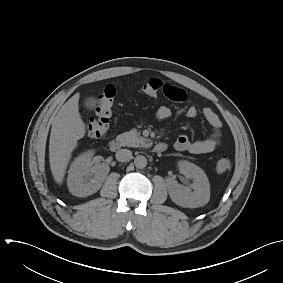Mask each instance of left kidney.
Wrapping results in <instances>:
<instances>
[{
  "instance_id": "1",
  "label": "left kidney",
  "mask_w": 283,
  "mask_h": 283,
  "mask_svg": "<svg viewBox=\"0 0 283 283\" xmlns=\"http://www.w3.org/2000/svg\"><path fill=\"white\" fill-rule=\"evenodd\" d=\"M179 169L187 178L193 179V183L190 187H185L171 178L168 179L167 185L171 200L179 206L188 208L206 205L210 200V184L205 172L187 161H180Z\"/></svg>"
}]
</instances>
